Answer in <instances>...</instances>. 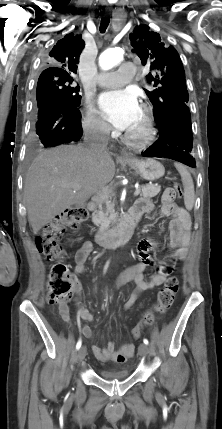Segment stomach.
I'll return each instance as SVG.
<instances>
[{
  "label": "stomach",
  "mask_w": 222,
  "mask_h": 429,
  "mask_svg": "<svg viewBox=\"0 0 222 429\" xmlns=\"http://www.w3.org/2000/svg\"><path fill=\"white\" fill-rule=\"evenodd\" d=\"M127 164L143 179L148 181L157 180L165 173L164 166L154 159L128 160Z\"/></svg>",
  "instance_id": "stomach-1"
}]
</instances>
